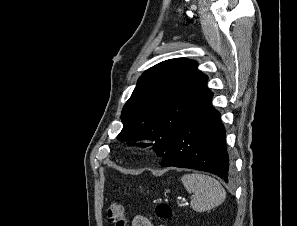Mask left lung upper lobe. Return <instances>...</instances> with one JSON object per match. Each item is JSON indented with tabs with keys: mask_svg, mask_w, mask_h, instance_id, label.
I'll return each mask as SVG.
<instances>
[{
	"mask_svg": "<svg viewBox=\"0 0 297 226\" xmlns=\"http://www.w3.org/2000/svg\"><path fill=\"white\" fill-rule=\"evenodd\" d=\"M207 79L197 69L196 61L186 58L166 60L151 67L138 79L123 107V129L117 138L153 139L156 142L153 149L163 157L182 122L210 93Z\"/></svg>",
	"mask_w": 297,
	"mask_h": 226,
	"instance_id": "1",
	"label": "left lung upper lobe"
}]
</instances>
